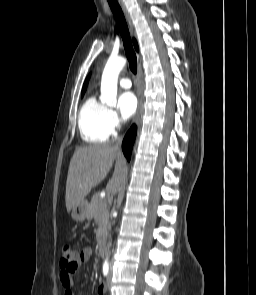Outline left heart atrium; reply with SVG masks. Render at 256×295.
Masks as SVG:
<instances>
[{"mask_svg": "<svg viewBox=\"0 0 256 295\" xmlns=\"http://www.w3.org/2000/svg\"><path fill=\"white\" fill-rule=\"evenodd\" d=\"M137 108V99L132 92H124L120 95L118 109L123 120L133 116Z\"/></svg>", "mask_w": 256, "mask_h": 295, "instance_id": "39dd6f15", "label": "left heart atrium"}]
</instances>
